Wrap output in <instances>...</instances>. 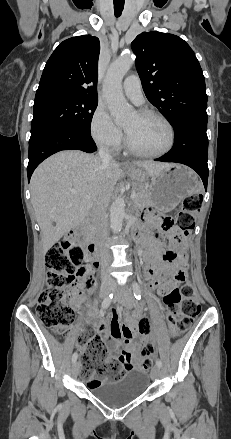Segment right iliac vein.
<instances>
[{"label": "right iliac vein", "mask_w": 231, "mask_h": 439, "mask_svg": "<svg viewBox=\"0 0 231 439\" xmlns=\"http://www.w3.org/2000/svg\"><path fill=\"white\" fill-rule=\"evenodd\" d=\"M113 287H114V285H109L107 291H111L113 289ZM79 371H80V363L74 362V364L72 366V376L76 378L77 375L79 374Z\"/></svg>", "instance_id": "63e3f726"}]
</instances>
